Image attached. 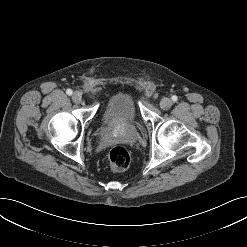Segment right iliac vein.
<instances>
[{
    "instance_id": "63e3f726",
    "label": "right iliac vein",
    "mask_w": 247,
    "mask_h": 247,
    "mask_svg": "<svg viewBox=\"0 0 247 247\" xmlns=\"http://www.w3.org/2000/svg\"><path fill=\"white\" fill-rule=\"evenodd\" d=\"M72 100L77 104L80 103L82 101V94L80 92H74L72 95Z\"/></svg>"
}]
</instances>
